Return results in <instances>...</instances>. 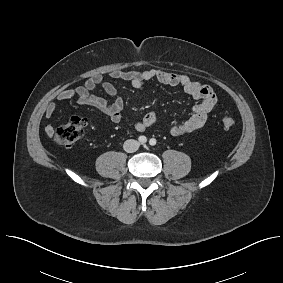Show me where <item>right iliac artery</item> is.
<instances>
[{"label": "right iliac artery", "instance_id": "1", "mask_svg": "<svg viewBox=\"0 0 283 283\" xmlns=\"http://www.w3.org/2000/svg\"><path fill=\"white\" fill-rule=\"evenodd\" d=\"M138 140H139V142L142 143V144H144V143L147 142V138H146L145 136H139Z\"/></svg>", "mask_w": 283, "mask_h": 283}]
</instances>
